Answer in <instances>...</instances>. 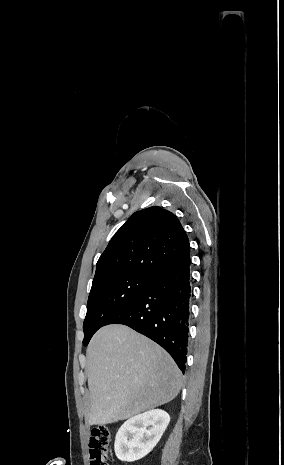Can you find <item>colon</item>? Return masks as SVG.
Wrapping results in <instances>:
<instances>
[{"label":"colon","instance_id":"obj_1","mask_svg":"<svg viewBox=\"0 0 284 465\" xmlns=\"http://www.w3.org/2000/svg\"><path fill=\"white\" fill-rule=\"evenodd\" d=\"M111 439L109 429H92L89 436L90 465H108V444Z\"/></svg>","mask_w":284,"mask_h":465}]
</instances>
